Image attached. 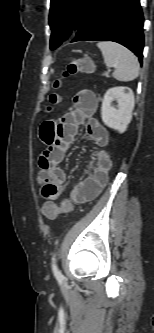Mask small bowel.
Returning a JSON list of instances; mask_svg holds the SVG:
<instances>
[{
    "label": "small bowel",
    "mask_w": 154,
    "mask_h": 333,
    "mask_svg": "<svg viewBox=\"0 0 154 333\" xmlns=\"http://www.w3.org/2000/svg\"><path fill=\"white\" fill-rule=\"evenodd\" d=\"M98 107L96 94L87 89L78 91L73 97V107L58 120H45L39 127V138L45 145L39 157L37 181L42 196L47 201H55L61 195L66 179L60 167L66 151L78 134L79 127L85 124L86 132L97 149V169L91 176L76 184L71 198L76 203H85L95 199L108 180L111 162L105 147L109 142L106 128L94 118Z\"/></svg>",
    "instance_id": "small-bowel-1"
}]
</instances>
